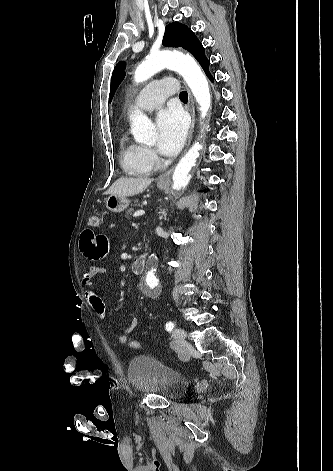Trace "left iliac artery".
I'll use <instances>...</instances> for the list:
<instances>
[{
	"mask_svg": "<svg viewBox=\"0 0 333 471\" xmlns=\"http://www.w3.org/2000/svg\"><path fill=\"white\" fill-rule=\"evenodd\" d=\"M174 328V323L173 322H168L166 324V330L171 331Z\"/></svg>",
	"mask_w": 333,
	"mask_h": 471,
	"instance_id": "left-iliac-artery-1",
	"label": "left iliac artery"
}]
</instances>
